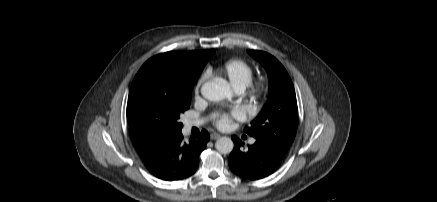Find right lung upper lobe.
Returning a JSON list of instances; mask_svg holds the SVG:
<instances>
[{
    "instance_id": "cb5924a9",
    "label": "right lung upper lobe",
    "mask_w": 437,
    "mask_h": 202,
    "mask_svg": "<svg viewBox=\"0 0 437 202\" xmlns=\"http://www.w3.org/2000/svg\"><path fill=\"white\" fill-rule=\"evenodd\" d=\"M214 50H198L186 52H172L177 55L182 65L188 69H199L204 62H207L212 56ZM133 143L139 152L140 156L145 159L158 147L163 145L168 140H153L131 133Z\"/></svg>"
}]
</instances>
